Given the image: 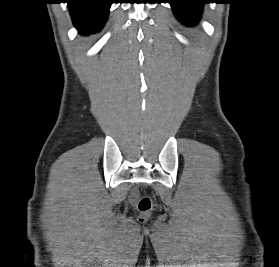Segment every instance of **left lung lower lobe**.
I'll list each match as a JSON object with an SVG mask.
<instances>
[{"instance_id":"left-lung-lower-lobe-1","label":"left lung lower lobe","mask_w":279,"mask_h":267,"mask_svg":"<svg viewBox=\"0 0 279 267\" xmlns=\"http://www.w3.org/2000/svg\"><path fill=\"white\" fill-rule=\"evenodd\" d=\"M177 18L186 24H195L200 18L206 0H170Z\"/></svg>"}]
</instances>
